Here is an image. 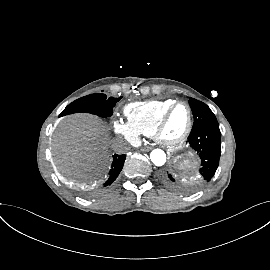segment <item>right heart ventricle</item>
Returning a JSON list of instances; mask_svg holds the SVG:
<instances>
[{
    "label": "right heart ventricle",
    "mask_w": 270,
    "mask_h": 270,
    "mask_svg": "<svg viewBox=\"0 0 270 270\" xmlns=\"http://www.w3.org/2000/svg\"><path fill=\"white\" fill-rule=\"evenodd\" d=\"M174 102V99L133 102L125 106L124 113L134 130L139 134L152 136L160 117Z\"/></svg>",
    "instance_id": "e07e8e85"
}]
</instances>
